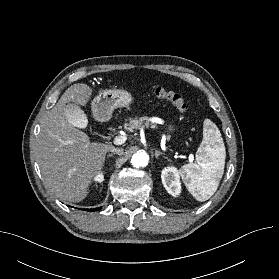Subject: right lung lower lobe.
Instances as JSON below:
<instances>
[{
    "mask_svg": "<svg viewBox=\"0 0 279 279\" xmlns=\"http://www.w3.org/2000/svg\"><path fill=\"white\" fill-rule=\"evenodd\" d=\"M101 209V207H99V208H94V209H84V210H88V211H97V210H100Z\"/></svg>",
    "mask_w": 279,
    "mask_h": 279,
    "instance_id": "1",
    "label": "right lung lower lobe"
}]
</instances>
